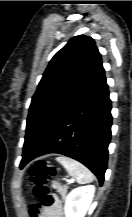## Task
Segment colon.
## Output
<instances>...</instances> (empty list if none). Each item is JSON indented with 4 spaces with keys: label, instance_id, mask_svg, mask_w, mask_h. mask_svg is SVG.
Here are the masks:
<instances>
[{
    "label": "colon",
    "instance_id": "5ec220e1",
    "mask_svg": "<svg viewBox=\"0 0 132 217\" xmlns=\"http://www.w3.org/2000/svg\"><path fill=\"white\" fill-rule=\"evenodd\" d=\"M57 174V168L50 162L38 161L30 168V183L33 195L39 203L31 207L32 217H36L40 208L52 205L56 198L50 192L49 183Z\"/></svg>",
    "mask_w": 132,
    "mask_h": 217
}]
</instances>
